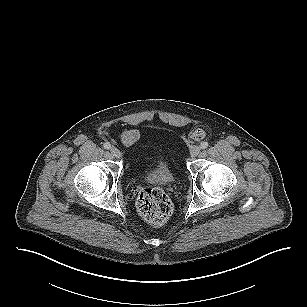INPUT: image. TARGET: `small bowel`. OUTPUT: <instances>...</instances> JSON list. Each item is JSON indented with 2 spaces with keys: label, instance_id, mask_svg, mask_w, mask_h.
Wrapping results in <instances>:
<instances>
[{
  "label": "small bowel",
  "instance_id": "c3829d8e",
  "mask_svg": "<svg viewBox=\"0 0 307 307\" xmlns=\"http://www.w3.org/2000/svg\"><path fill=\"white\" fill-rule=\"evenodd\" d=\"M119 138L125 146H132L139 140L140 133L137 129H127L119 134Z\"/></svg>",
  "mask_w": 307,
  "mask_h": 307
}]
</instances>
